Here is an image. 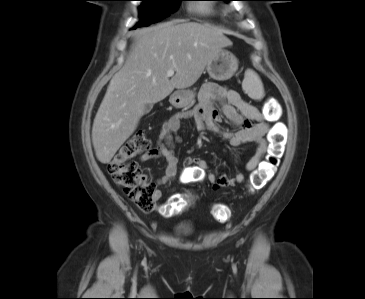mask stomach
Instances as JSON below:
<instances>
[{"mask_svg": "<svg viewBox=\"0 0 365 299\" xmlns=\"http://www.w3.org/2000/svg\"><path fill=\"white\" fill-rule=\"evenodd\" d=\"M207 72L214 80L230 79L238 69L237 58L227 50H220L207 64ZM193 90H178L170 96V103L176 108L188 106L194 99Z\"/></svg>", "mask_w": 365, "mask_h": 299, "instance_id": "obj_1", "label": "stomach"}]
</instances>
